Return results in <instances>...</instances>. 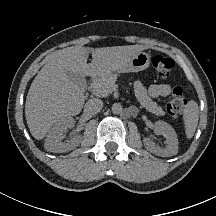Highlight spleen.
Returning <instances> with one entry per match:
<instances>
[{"mask_svg": "<svg viewBox=\"0 0 216 216\" xmlns=\"http://www.w3.org/2000/svg\"><path fill=\"white\" fill-rule=\"evenodd\" d=\"M198 120V104L195 101H190L183 111V123L185 127V133L188 139L193 137L198 125Z\"/></svg>", "mask_w": 216, "mask_h": 216, "instance_id": "obj_1", "label": "spleen"}]
</instances>
